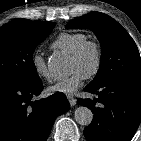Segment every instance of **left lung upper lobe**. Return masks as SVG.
I'll return each mask as SVG.
<instances>
[{
    "instance_id": "left-lung-upper-lobe-1",
    "label": "left lung upper lobe",
    "mask_w": 141,
    "mask_h": 141,
    "mask_svg": "<svg viewBox=\"0 0 141 141\" xmlns=\"http://www.w3.org/2000/svg\"><path fill=\"white\" fill-rule=\"evenodd\" d=\"M66 28L90 29L100 41V68L89 85L97 86L121 78L141 79L138 48L128 32L113 18L100 12H92L72 20Z\"/></svg>"
}]
</instances>
